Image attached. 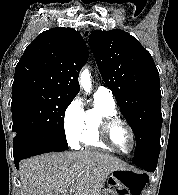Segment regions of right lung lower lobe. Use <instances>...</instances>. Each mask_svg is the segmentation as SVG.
<instances>
[{
	"label": "right lung lower lobe",
	"mask_w": 178,
	"mask_h": 195,
	"mask_svg": "<svg viewBox=\"0 0 178 195\" xmlns=\"http://www.w3.org/2000/svg\"><path fill=\"white\" fill-rule=\"evenodd\" d=\"M66 149H68L67 141L56 136L19 137L14 139V162L18 168L22 159L47 152H61Z\"/></svg>",
	"instance_id": "98d812e1"
}]
</instances>
